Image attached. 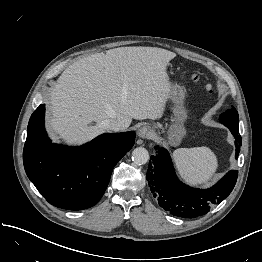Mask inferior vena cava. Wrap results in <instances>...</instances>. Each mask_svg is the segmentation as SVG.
Wrapping results in <instances>:
<instances>
[{
    "label": "inferior vena cava",
    "mask_w": 262,
    "mask_h": 262,
    "mask_svg": "<svg viewBox=\"0 0 262 262\" xmlns=\"http://www.w3.org/2000/svg\"><path fill=\"white\" fill-rule=\"evenodd\" d=\"M104 127L107 130H111V131H122L126 129L128 126L120 120L109 119L104 122Z\"/></svg>",
    "instance_id": "obj_1"
}]
</instances>
